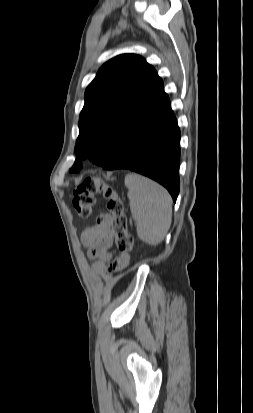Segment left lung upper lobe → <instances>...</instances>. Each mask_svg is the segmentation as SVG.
Here are the masks:
<instances>
[{
	"label": "left lung upper lobe",
	"mask_w": 253,
	"mask_h": 413,
	"mask_svg": "<svg viewBox=\"0 0 253 413\" xmlns=\"http://www.w3.org/2000/svg\"><path fill=\"white\" fill-rule=\"evenodd\" d=\"M162 83L139 55L122 54L106 62L85 91L75 146L78 158L69 171L81 170L80 159L89 158L102 167L113 160L121 126L144 109Z\"/></svg>",
	"instance_id": "left-lung-upper-lobe-1"
}]
</instances>
